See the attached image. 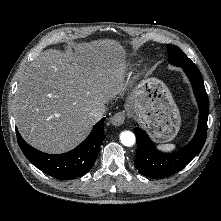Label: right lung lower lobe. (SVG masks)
Masks as SVG:
<instances>
[{"instance_id": "right-lung-lower-lobe-1", "label": "right lung lower lobe", "mask_w": 221, "mask_h": 221, "mask_svg": "<svg viewBox=\"0 0 221 221\" xmlns=\"http://www.w3.org/2000/svg\"><path fill=\"white\" fill-rule=\"evenodd\" d=\"M103 124L104 118L79 146L64 154H47L31 147L16 130L17 140L26 158L38 169L54 178L68 180L86 174L93 166L105 138Z\"/></svg>"}]
</instances>
